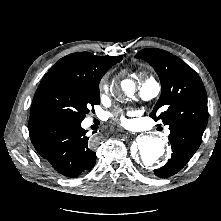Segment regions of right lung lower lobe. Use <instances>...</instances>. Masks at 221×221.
I'll return each instance as SVG.
<instances>
[{
    "label": "right lung lower lobe",
    "instance_id": "right-lung-lower-lobe-1",
    "mask_svg": "<svg viewBox=\"0 0 221 221\" xmlns=\"http://www.w3.org/2000/svg\"><path fill=\"white\" fill-rule=\"evenodd\" d=\"M82 121L63 117H29L31 142L46 165L58 174L76 177L93 168L94 146Z\"/></svg>",
    "mask_w": 221,
    "mask_h": 221
}]
</instances>
